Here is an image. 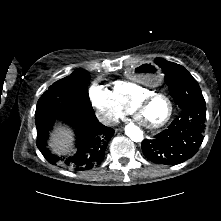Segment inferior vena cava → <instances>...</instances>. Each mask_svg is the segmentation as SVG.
I'll list each match as a JSON object with an SVG mask.
<instances>
[{"mask_svg":"<svg viewBox=\"0 0 221 221\" xmlns=\"http://www.w3.org/2000/svg\"><path fill=\"white\" fill-rule=\"evenodd\" d=\"M99 121L104 125H114L118 121L113 117L111 113H105L99 116Z\"/></svg>","mask_w":221,"mask_h":221,"instance_id":"1","label":"inferior vena cava"}]
</instances>
